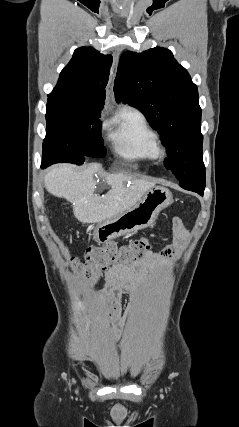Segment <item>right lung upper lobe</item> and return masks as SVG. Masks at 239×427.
Here are the masks:
<instances>
[{
  "mask_svg": "<svg viewBox=\"0 0 239 427\" xmlns=\"http://www.w3.org/2000/svg\"><path fill=\"white\" fill-rule=\"evenodd\" d=\"M111 65V55H102L91 47L76 49L48 95L47 104L102 110Z\"/></svg>",
  "mask_w": 239,
  "mask_h": 427,
  "instance_id": "obj_1",
  "label": "right lung upper lobe"
}]
</instances>
